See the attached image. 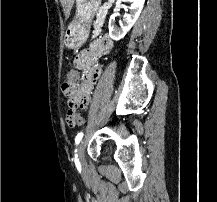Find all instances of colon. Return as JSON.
Instances as JSON below:
<instances>
[{
    "mask_svg": "<svg viewBox=\"0 0 217 202\" xmlns=\"http://www.w3.org/2000/svg\"><path fill=\"white\" fill-rule=\"evenodd\" d=\"M92 71L96 73V68L93 69ZM79 79H80V74L78 72L70 71L66 76L64 84L62 86V92L64 96L67 98L68 107L71 109L78 108L79 102H88L89 100V96H81L84 95V90H77V88H83L77 86ZM76 113L77 115L79 114L78 112ZM69 118H70V114L67 115V123L70 125ZM76 122H77V126L84 125L83 117L79 118L77 116Z\"/></svg>",
    "mask_w": 217,
    "mask_h": 202,
    "instance_id": "5ec220e1",
    "label": "colon"
}]
</instances>
